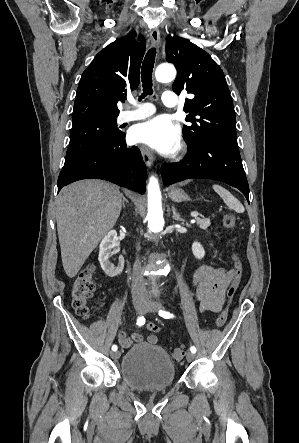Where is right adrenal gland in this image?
Here are the masks:
<instances>
[{"instance_id": "obj_1", "label": "right adrenal gland", "mask_w": 299, "mask_h": 443, "mask_svg": "<svg viewBox=\"0 0 299 443\" xmlns=\"http://www.w3.org/2000/svg\"><path fill=\"white\" fill-rule=\"evenodd\" d=\"M122 198H123L122 206L123 208H125V203H128V200L124 196H122Z\"/></svg>"}]
</instances>
